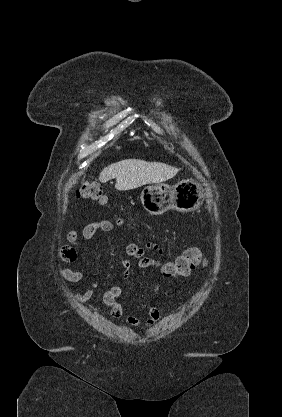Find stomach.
I'll return each instance as SVG.
<instances>
[{
    "label": "stomach",
    "instance_id": "stomach-1",
    "mask_svg": "<svg viewBox=\"0 0 282 417\" xmlns=\"http://www.w3.org/2000/svg\"><path fill=\"white\" fill-rule=\"evenodd\" d=\"M140 200L149 215H163L170 209L180 213H192L202 204V194L198 184L191 180H181L173 186L166 182H154L144 186Z\"/></svg>",
    "mask_w": 282,
    "mask_h": 417
}]
</instances>
